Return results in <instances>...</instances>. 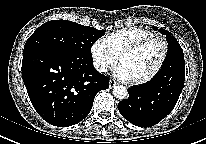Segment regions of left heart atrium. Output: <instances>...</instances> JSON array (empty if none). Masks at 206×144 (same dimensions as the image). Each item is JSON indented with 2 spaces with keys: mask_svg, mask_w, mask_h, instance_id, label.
<instances>
[{
  "mask_svg": "<svg viewBox=\"0 0 206 144\" xmlns=\"http://www.w3.org/2000/svg\"><path fill=\"white\" fill-rule=\"evenodd\" d=\"M115 75L121 80H132L128 70L122 64L116 68Z\"/></svg>",
  "mask_w": 206,
  "mask_h": 144,
  "instance_id": "left-heart-atrium-1",
  "label": "left heart atrium"
}]
</instances>
